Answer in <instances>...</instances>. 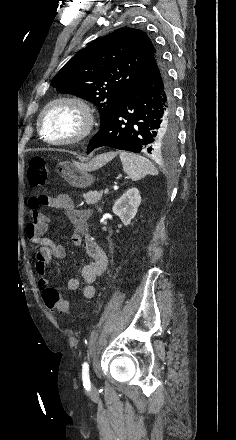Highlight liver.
<instances>
[{
    "mask_svg": "<svg viewBox=\"0 0 236 440\" xmlns=\"http://www.w3.org/2000/svg\"><path fill=\"white\" fill-rule=\"evenodd\" d=\"M113 154H104L97 156L93 161L89 163L94 169L101 167L106 162H108L110 159H112Z\"/></svg>",
    "mask_w": 236,
    "mask_h": 440,
    "instance_id": "1",
    "label": "liver"
}]
</instances>
